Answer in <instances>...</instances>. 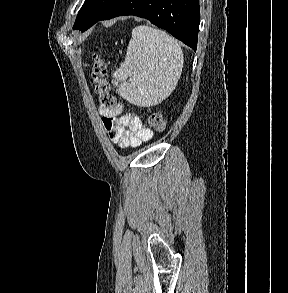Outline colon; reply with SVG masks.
I'll return each mask as SVG.
<instances>
[{"label": "colon", "mask_w": 288, "mask_h": 293, "mask_svg": "<svg viewBox=\"0 0 288 293\" xmlns=\"http://www.w3.org/2000/svg\"><path fill=\"white\" fill-rule=\"evenodd\" d=\"M92 79L95 84V91L99 95L101 106L105 108L114 107L116 99L108 89L107 65L97 54H93ZM148 123L158 132L164 131L167 126L166 118L159 112L150 114Z\"/></svg>", "instance_id": "1"}]
</instances>
